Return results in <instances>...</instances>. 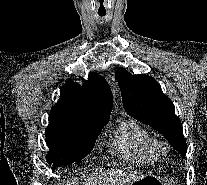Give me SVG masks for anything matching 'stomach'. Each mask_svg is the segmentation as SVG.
<instances>
[{"label": "stomach", "mask_w": 207, "mask_h": 185, "mask_svg": "<svg viewBox=\"0 0 207 185\" xmlns=\"http://www.w3.org/2000/svg\"><path fill=\"white\" fill-rule=\"evenodd\" d=\"M160 178L155 176H145L131 183V185H165Z\"/></svg>", "instance_id": "0dacf381"}]
</instances>
